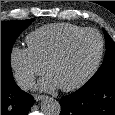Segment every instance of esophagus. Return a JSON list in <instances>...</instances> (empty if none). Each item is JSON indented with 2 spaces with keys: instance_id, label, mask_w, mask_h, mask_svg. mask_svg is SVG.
Here are the masks:
<instances>
[{
  "instance_id": "esophagus-1",
  "label": "esophagus",
  "mask_w": 115,
  "mask_h": 115,
  "mask_svg": "<svg viewBox=\"0 0 115 115\" xmlns=\"http://www.w3.org/2000/svg\"><path fill=\"white\" fill-rule=\"evenodd\" d=\"M45 98H46L45 95H38V94H36V95L34 96L35 101H40V100H43V99H45Z\"/></svg>"
}]
</instances>
